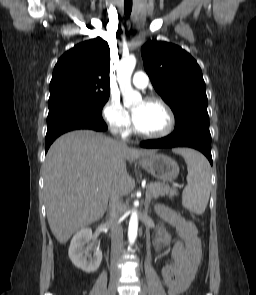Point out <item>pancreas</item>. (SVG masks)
Returning <instances> with one entry per match:
<instances>
[{"instance_id": "pancreas-1", "label": "pancreas", "mask_w": 256, "mask_h": 295, "mask_svg": "<svg viewBox=\"0 0 256 295\" xmlns=\"http://www.w3.org/2000/svg\"><path fill=\"white\" fill-rule=\"evenodd\" d=\"M177 194L178 192L175 187H170L160 182H151L146 189L147 198L150 199H157L159 196H168L172 199Z\"/></svg>"}]
</instances>
